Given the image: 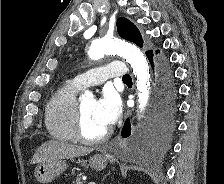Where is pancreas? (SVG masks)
I'll use <instances>...</instances> for the list:
<instances>
[{
    "instance_id": "pancreas-1",
    "label": "pancreas",
    "mask_w": 224,
    "mask_h": 184,
    "mask_svg": "<svg viewBox=\"0 0 224 184\" xmlns=\"http://www.w3.org/2000/svg\"><path fill=\"white\" fill-rule=\"evenodd\" d=\"M75 184H83V181L81 180L80 177H77Z\"/></svg>"
}]
</instances>
